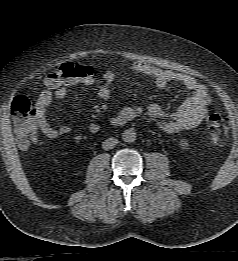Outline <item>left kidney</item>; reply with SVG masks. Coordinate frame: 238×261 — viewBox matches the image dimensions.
<instances>
[{
  "instance_id": "5707ae66",
  "label": "left kidney",
  "mask_w": 238,
  "mask_h": 261,
  "mask_svg": "<svg viewBox=\"0 0 238 261\" xmlns=\"http://www.w3.org/2000/svg\"><path fill=\"white\" fill-rule=\"evenodd\" d=\"M180 146L186 148L188 146V141L186 139H181Z\"/></svg>"
}]
</instances>
